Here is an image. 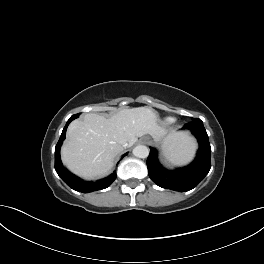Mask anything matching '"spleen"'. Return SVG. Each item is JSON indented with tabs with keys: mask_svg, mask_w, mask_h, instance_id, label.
Listing matches in <instances>:
<instances>
[{
	"mask_svg": "<svg viewBox=\"0 0 264 264\" xmlns=\"http://www.w3.org/2000/svg\"><path fill=\"white\" fill-rule=\"evenodd\" d=\"M166 159L174 165L188 163L196 150L195 141L186 134H179L169 145L163 147Z\"/></svg>",
	"mask_w": 264,
	"mask_h": 264,
	"instance_id": "1",
	"label": "spleen"
}]
</instances>
